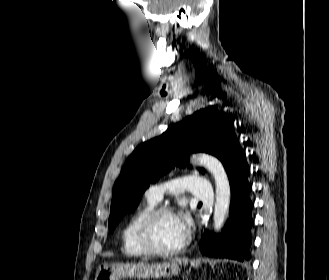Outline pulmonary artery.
I'll list each match as a JSON object with an SVG mask.
<instances>
[{
	"label": "pulmonary artery",
	"mask_w": 329,
	"mask_h": 280,
	"mask_svg": "<svg viewBox=\"0 0 329 280\" xmlns=\"http://www.w3.org/2000/svg\"><path fill=\"white\" fill-rule=\"evenodd\" d=\"M190 191L194 196L202 201H211L213 196L212 185L206 178L192 174L185 178L174 180L166 184H156L146 190V197L158 202L165 192Z\"/></svg>",
	"instance_id": "obj_1"
}]
</instances>
